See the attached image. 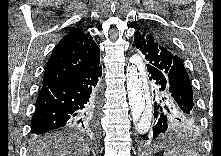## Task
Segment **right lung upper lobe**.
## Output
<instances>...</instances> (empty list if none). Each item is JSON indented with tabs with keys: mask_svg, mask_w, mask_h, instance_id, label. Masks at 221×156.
Wrapping results in <instances>:
<instances>
[{
	"mask_svg": "<svg viewBox=\"0 0 221 156\" xmlns=\"http://www.w3.org/2000/svg\"><path fill=\"white\" fill-rule=\"evenodd\" d=\"M100 63V49L89 33L73 28L53 50L47 63L43 86L84 72Z\"/></svg>",
	"mask_w": 221,
	"mask_h": 156,
	"instance_id": "1",
	"label": "right lung upper lobe"
}]
</instances>
